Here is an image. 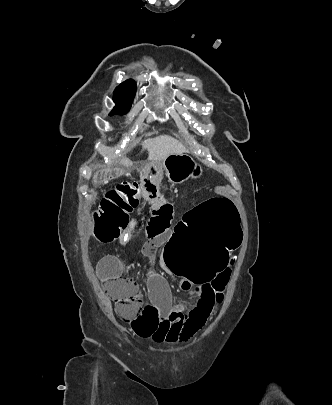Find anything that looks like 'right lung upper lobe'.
<instances>
[{"instance_id":"1","label":"right lung upper lobe","mask_w":332,"mask_h":405,"mask_svg":"<svg viewBox=\"0 0 332 405\" xmlns=\"http://www.w3.org/2000/svg\"><path fill=\"white\" fill-rule=\"evenodd\" d=\"M122 85L135 90V82L133 80H127V81L123 82Z\"/></svg>"}]
</instances>
